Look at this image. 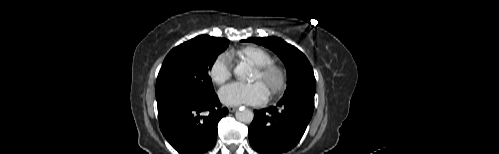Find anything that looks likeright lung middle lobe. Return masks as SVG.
<instances>
[{"label": "right lung middle lobe", "instance_id": "dd1d6c3e", "mask_svg": "<svg viewBox=\"0 0 499 154\" xmlns=\"http://www.w3.org/2000/svg\"><path fill=\"white\" fill-rule=\"evenodd\" d=\"M229 41L197 36L172 49L166 56L156 83V99L171 94L204 97L214 93L209 71Z\"/></svg>", "mask_w": 499, "mask_h": 154}]
</instances>
